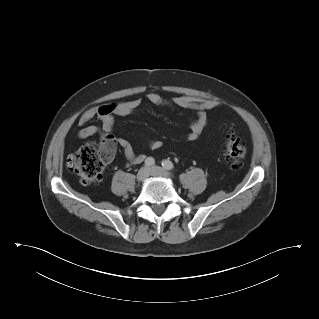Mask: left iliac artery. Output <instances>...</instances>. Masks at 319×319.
I'll return each instance as SVG.
<instances>
[{
	"mask_svg": "<svg viewBox=\"0 0 319 319\" xmlns=\"http://www.w3.org/2000/svg\"><path fill=\"white\" fill-rule=\"evenodd\" d=\"M162 166H163L165 169H167V170H172V169L174 168L173 163H172L171 161H169V160H164V161L162 162Z\"/></svg>",
	"mask_w": 319,
	"mask_h": 319,
	"instance_id": "left-iliac-artery-1",
	"label": "left iliac artery"
}]
</instances>
